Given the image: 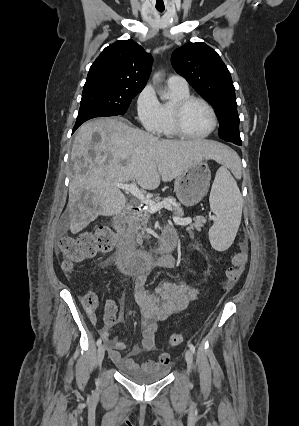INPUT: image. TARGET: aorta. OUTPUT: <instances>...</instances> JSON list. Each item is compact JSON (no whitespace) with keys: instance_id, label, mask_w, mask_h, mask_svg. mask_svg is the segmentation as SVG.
I'll return each instance as SVG.
<instances>
[{"instance_id":"1","label":"aorta","mask_w":299,"mask_h":426,"mask_svg":"<svg viewBox=\"0 0 299 426\" xmlns=\"http://www.w3.org/2000/svg\"><path fill=\"white\" fill-rule=\"evenodd\" d=\"M159 78H160V74L159 73H155L154 76H153V80H159ZM169 98L170 97H169L168 94H165V95L162 96V99H169Z\"/></svg>"}]
</instances>
